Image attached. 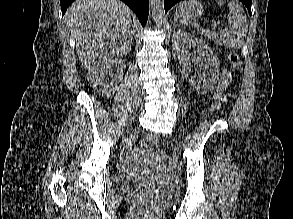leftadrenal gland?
I'll use <instances>...</instances> for the list:
<instances>
[{
    "label": "left adrenal gland",
    "mask_w": 293,
    "mask_h": 219,
    "mask_svg": "<svg viewBox=\"0 0 293 219\" xmlns=\"http://www.w3.org/2000/svg\"><path fill=\"white\" fill-rule=\"evenodd\" d=\"M174 25H175V27H177V25H178L177 20H174Z\"/></svg>",
    "instance_id": "left-adrenal-gland-1"
}]
</instances>
